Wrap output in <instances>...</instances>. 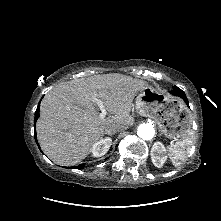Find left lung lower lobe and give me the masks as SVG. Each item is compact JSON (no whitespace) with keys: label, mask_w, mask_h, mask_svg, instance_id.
Here are the masks:
<instances>
[{"label":"left lung lower lobe","mask_w":221,"mask_h":221,"mask_svg":"<svg viewBox=\"0 0 221 221\" xmlns=\"http://www.w3.org/2000/svg\"><path fill=\"white\" fill-rule=\"evenodd\" d=\"M170 93L172 95L181 97L185 101V103L188 105V99H187L184 91H182L180 88H178L177 86H174L173 90H171Z\"/></svg>","instance_id":"0a47b994"}]
</instances>
